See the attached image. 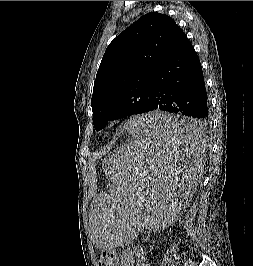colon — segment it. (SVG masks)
<instances>
[{
	"mask_svg": "<svg viewBox=\"0 0 253 266\" xmlns=\"http://www.w3.org/2000/svg\"><path fill=\"white\" fill-rule=\"evenodd\" d=\"M99 266H119V260L114 252L105 251L99 258Z\"/></svg>",
	"mask_w": 253,
	"mask_h": 266,
	"instance_id": "colon-1",
	"label": "colon"
}]
</instances>
